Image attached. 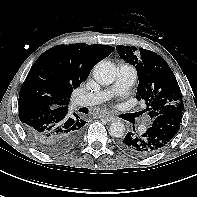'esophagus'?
Listing matches in <instances>:
<instances>
[{"mask_svg":"<svg viewBox=\"0 0 197 197\" xmlns=\"http://www.w3.org/2000/svg\"><path fill=\"white\" fill-rule=\"evenodd\" d=\"M99 118L105 119L108 122H113L116 120V118L110 113H104L103 115H100Z\"/></svg>","mask_w":197,"mask_h":197,"instance_id":"esophagus-1","label":"esophagus"}]
</instances>
